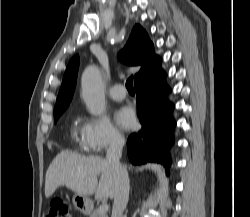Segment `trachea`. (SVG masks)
<instances>
[{
	"label": "trachea",
	"instance_id": "trachea-1",
	"mask_svg": "<svg viewBox=\"0 0 250 217\" xmlns=\"http://www.w3.org/2000/svg\"><path fill=\"white\" fill-rule=\"evenodd\" d=\"M126 88L129 92H134L133 88V76L129 77L126 81Z\"/></svg>",
	"mask_w": 250,
	"mask_h": 217
}]
</instances>
